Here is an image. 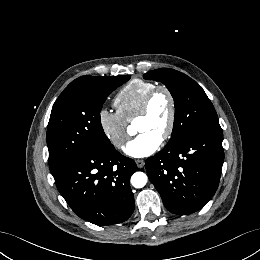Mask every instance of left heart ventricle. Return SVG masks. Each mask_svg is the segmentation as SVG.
Listing matches in <instances>:
<instances>
[{"label": "left heart ventricle", "mask_w": 260, "mask_h": 260, "mask_svg": "<svg viewBox=\"0 0 260 260\" xmlns=\"http://www.w3.org/2000/svg\"><path fill=\"white\" fill-rule=\"evenodd\" d=\"M170 101L160 92L152 100L148 114L135 122L138 133L149 132L161 139L169 120Z\"/></svg>", "instance_id": "1"}]
</instances>
